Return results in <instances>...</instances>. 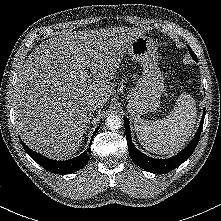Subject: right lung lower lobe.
Instances as JSON below:
<instances>
[{
	"label": "right lung lower lobe",
	"instance_id": "98d812e1",
	"mask_svg": "<svg viewBox=\"0 0 221 221\" xmlns=\"http://www.w3.org/2000/svg\"><path fill=\"white\" fill-rule=\"evenodd\" d=\"M99 130V127L95 130L94 134ZM22 142V141H21ZM22 145L27 152V154L36 161L39 165H41L46 170L55 173V174H70L79 169H82L86 164L87 161L90 159V148L87 151L83 152L79 156L68 159L65 161H55L51 160L43 155L36 153L35 151L28 148L23 142Z\"/></svg>",
	"mask_w": 221,
	"mask_h": 221
}]
</instances>
